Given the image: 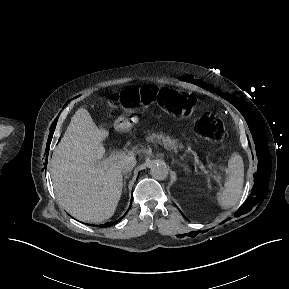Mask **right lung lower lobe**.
<instances>
[{
  "label": "right lung lower lobe",
  "mask_w": 289,
  "mask_h": 289,
  "mask_svg": "<svg viewBox=\"0 0 289 289\" xmlns=\"http://www.w3.org/2000/svg\"><path fill=\"white\" fill-rule=\"evenodd\" d=\"M132 203V202H131ZM130 207H131V205H130ZM119 221V220H118ZM118 221H115V222H110L109 224H107V225H103V227H108V226H112V225H114V224H116Z\"/></svg>",
  "instance_id": "1"
}]
</instances>
